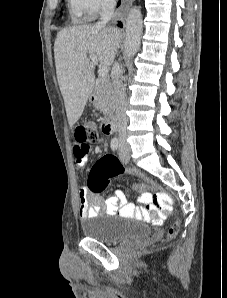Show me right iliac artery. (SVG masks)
Here are the masks:
<instances>
[{
  "label": "right iliac artery",
  "instance_id": "obj_1",
  "mask_svg": "<svg viewBox=\"0 0 227 298\" xmlns=\"http://www.w3.org/2000/svg\"><path fill=\"white\" fill-rule=\"evenodd\" d=\"M110 146L113 151L117 150V148L119 147V140L117 138H113L111 140Z\"/></svg>",
  "mask_w": 227,
  "mask_h": 298
}]
</instances>
